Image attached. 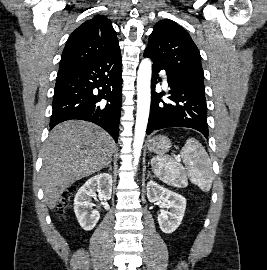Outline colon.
<instances>
[{
	"mask_svg": "<svg viewBox=\"0 0 267 270\" xmlns=\"http://www.w3.org/2000/svg\"><path fill=\"white\" fill-rule=\"evenodd\" d=\"M74 192L73 188L68 189L63 196L61 197L58 205H57V213L62 218L64 216L65 210L68 207V203L70 201V198Z\"/></svg>",
	"mask_w": 267,
	"mask_h": 270,
	"instance_id": "obj_1",
	"label": "colon"
}]
</instances>
